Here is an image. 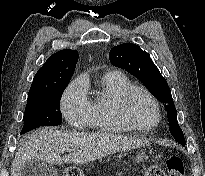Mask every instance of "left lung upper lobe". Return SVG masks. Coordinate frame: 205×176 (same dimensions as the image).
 Here are the masks:
<instances>
[{
    "instance_id": "5c2ea615",
    "label": "left lung upper lobe",
    "mask_w": 205,
    "mask_h": 176,
    "mask_svg": "<svg viewBox=\"0 0 205 176\" xmlns=\"http://www.w3.org/2000/svg\"><path fill=\"white\" fill-rule=\"evenodd\" d=\"M109 59L114 66L136 76L152 94L166 104L165 108L170 123V133L178 143L185 145L186 141L177 122V111L173 103L170 88L165 78L153 63L150 55L138 45L124 43L110 50Z\"/></svg>"
}]
</instances>
